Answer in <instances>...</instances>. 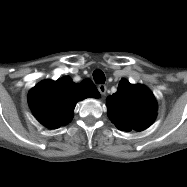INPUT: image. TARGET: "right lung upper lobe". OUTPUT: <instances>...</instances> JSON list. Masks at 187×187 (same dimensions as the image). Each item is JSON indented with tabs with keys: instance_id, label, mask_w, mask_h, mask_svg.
Returning a JSON list of instances; mask_svg holds the SVG:
<instances>
[{
	"instance_id": "cb5924a9",
	"label": "right lung upper lobe",
	"mask_w": 187,
	"mask_h": 187,
	"mask_svg": "<svg viewBox=\"0 0 187 187\" xmlns=\"http://www.w3.org/2000/svg\"><path fill=\"white\" fill-rule=\"evenodd\" d=\"M90 79L76 84L64 76L57 81L45 80L28 93V103L34 116L46 127L56 129L73 118L76 102L87 97H99Z\"/></svg>"
}]
</instances>
